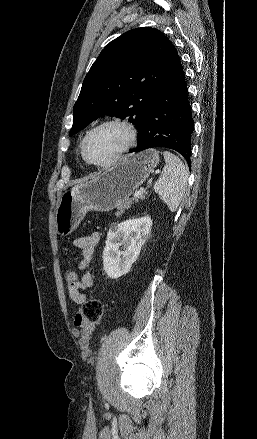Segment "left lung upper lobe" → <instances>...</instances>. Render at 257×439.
Masks as SVG:
<instances>
[{
	"mask_svg": "<svg viewBox=\"0 0 257 439\" xmlns=\"http://www.w3.org/2000/svg\"><path fill=\"white\" fill-rule=\"evenodd\" d=\"M177 57L171 41L154 28H136L114 39L101 51L83 81L69 135L108 115L128 117L138 130L139 140L141 122Z\"/></svg>",
	"mask_w": 257,
	"mask_h": 439,
	"instance_id": "5c2ea615",
	"label": "left lung upper lobe"
}]
</instances>
